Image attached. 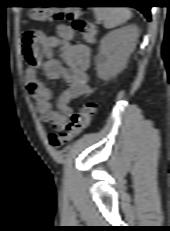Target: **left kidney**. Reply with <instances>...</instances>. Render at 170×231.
Returning <instances> with one entry per match:
<instances>
[{
  "instance_id": "left-kidney-1",
  "label": "left kidney",
  "mask_w": 170,
  "mask_h": 231,
  "mask_svg": "<svg viewBox=\"0 0 170 231\" xmlns=\"http://www.w3.org/2000/svg\"><path fill=\"white\" fill-rule=\"evenodd\" d=\"M138 37L139 29L134 25H127L111 31L102 38L99 53L95 58L99 78L108 80L125 68Z\"/></svg>"
}]
</instances>
